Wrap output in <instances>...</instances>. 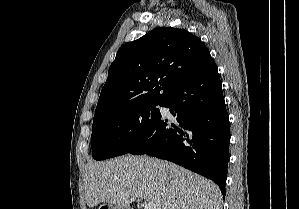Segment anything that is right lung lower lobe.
<instances>
[{
  "instance_id": "98d812e1",
  "label": "right lung lower lobe",
  "mask_w": 299,
  "mask_h": 209,
  "mask_svg": "<svg viewBox=\"0 0 299 209\" xmlns=\"http://www.w3.org/2000/svg\"><path fill=\"white\" fill-rule=\"evenodd\" d=\"M176 117L160 118L128 151L166 159L213 180L225 196L230 159L229 116L218 70L179 83L163 102Z\"/></svg>"
}]
</instances>
